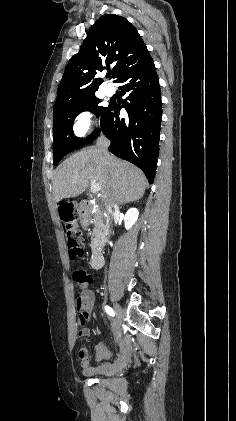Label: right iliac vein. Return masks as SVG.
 Returning a JSON list of instances; mask_svg holds the SVG:
<instances>
[{"mask_svg": "<svg viewBox=\"0 0 236 421\" xmlns=\"http://www.w3.org/2000/svg\"><path fill=\"white\" fill-rule=\"evenodd\" d=\"M115 308V314H116V320L114 321V328L115 330H119L121 327V323H122V319H123V311L120 307V305L115 304L114 305Z\"/></svg>", "mask_w": 236, "mask_h": 421, "instance_id": "1", "label": "right iliac vein"}]
</instances>
